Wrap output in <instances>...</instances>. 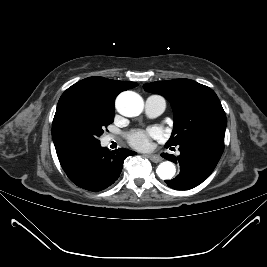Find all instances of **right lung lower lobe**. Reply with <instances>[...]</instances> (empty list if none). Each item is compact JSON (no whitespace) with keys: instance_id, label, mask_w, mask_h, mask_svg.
I'll return each mask as SVG.
<instances>
[{"instance_id":"98d812e1","label":"right lung lower lobe","mask_w":267,"mask_h":267,"mask_svg":"<svg viewBox=\"0 0 267 267\" xmlns=\"http://www.w3.org/2000/svg\"><path fill=\"white\" fill-rule=\"evenodd\" d=\"M57 154L63 170L73 183L89 191H101L118 179L124 159L136 153L125 148L109 151L99 143Z\"/></svg>"}]
</instances>
